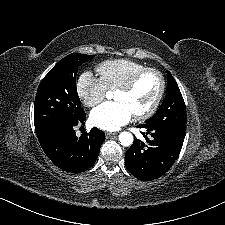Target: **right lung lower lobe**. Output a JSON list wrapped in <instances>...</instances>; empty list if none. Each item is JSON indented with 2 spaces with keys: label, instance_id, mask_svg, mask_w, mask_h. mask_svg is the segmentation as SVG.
Masks as SVG:
<instances>
[{
  "label": "right lung lower lobe",
  "instance_id": "1",
  "mask_svg": "<svg viewBox=\"0 0 225 225\" xmlns=\"http://www.w3.org/2000/svg\"><path fill=\"white\" fill-rule=\"evenodd\" d=\"M86 114L67 124H58L37 134L39 143L48 158L60 169L80 173L96 161L105 133L94 127L89 133L76 136L75 126L85 124Z\"/></svg>",
  "mask_w": 225,
  "mask_h": 225
}]
</instances>
